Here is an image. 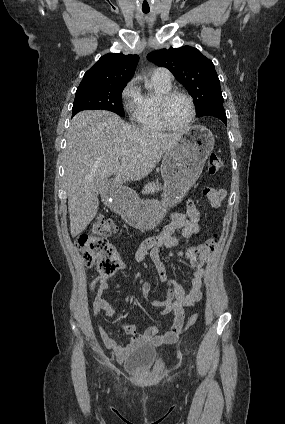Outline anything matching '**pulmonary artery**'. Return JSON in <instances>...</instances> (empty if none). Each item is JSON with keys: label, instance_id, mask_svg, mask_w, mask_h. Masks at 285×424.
<instances>
[{"label": "pulmonary artery", "instance_id": "pulmonary-artery-1", "mask_svg": "<svg viewBox=\"0 0 285 424\" xmlns=\"http://www.w3.org/2000/svg\"><path fill=\"white\" fill-rule=\"evenodd\" d=\"M152 75L163 82L170 83L172 80V75L170 71L166 68L158 67L152 71Z\"/></svg>", "mask_w": 285, "mask_h": 424}]
</instances>
